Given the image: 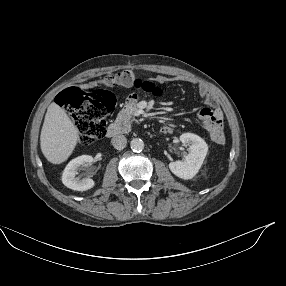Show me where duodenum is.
Returning <instances> with one entry per match:
<instances>
[{
    "label": "duodenum",
    "mask_w": 286,
    "mask_h": 286,
    "mask_svg": "<svg viewBox=\"0 0 286 286\" xmlns=\"http://www.w3.org/2000/svg\"><path fill=\"white\" fill-rule=\"evenodd\" d=\"M127 130V123L120 121V122H114L111 123L107 129H106V133L105 136L107 138H113L115 136H118L122 133H124Z\"/></svg>",
    "instance_id": "410a0bca"
}]
</instances>
